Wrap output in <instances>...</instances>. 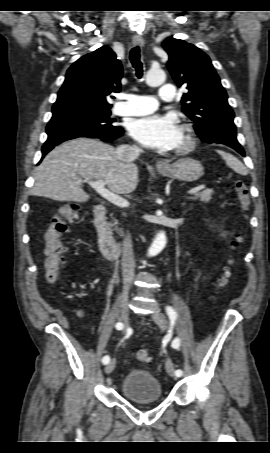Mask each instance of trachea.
<instances>
[{
    "label": "trachea",
    "instance_id": "trachea-1",
    "mask_svg": "<svg viewBox=\"0 0 270 453\" xmlns=\"http://www.w3.org/2000/svg\"><path fill=\"white\" fill-rule=\"evenodd\" d=\"M130 61L132 63V66L136 70V75L138 78H141L143 75V67L142 63L140 60V48L139 46H136L131 49L130 51Z\"/></svg>",
    "mask_w": 270,
    "mask_h": 453
}]
</instances>
